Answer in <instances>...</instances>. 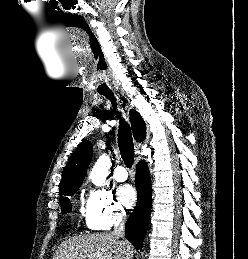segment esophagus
I'll return each mask as SVG.
<instances>
[{"mask_svg": "<svg viewBox=\"0 0 248 259\" xmlns=\"http://www.w3.org/2000/svg\"><path fill=\"white\" fill-rule=\"evenodd\" d=\"M139 147H140V145H139L138 143H136V145H135V151H136V153L138 152Z\"/></svg>", "mask_w": 248, "mask_h": 259, "instance_id": "1", "label": "esophagus"}]
</instances>
